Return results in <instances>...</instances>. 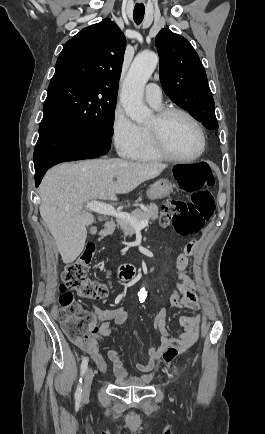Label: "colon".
Segmentation results:
<instances>
[{
    "label": "colon",
    "instance_id": "obj_1",
    "mask_svg": "<svg viewBox=\"0 0 265 434\" xmlns=\"http://www.w3.org/2000/svg\"><path fill=\"white\" fill-rule=\"evenodd\" d=\"M195 164V165H194ZM174 164V173L181 181V189L191 194V200L170 199L163 205L161 221L171 224L176 232L184 237L191 236L202 230L204 222L213 214L214 198L209 188L215 185V177L208 164ZM96 248L88 247L73 263L65 266L62 273L61 290L71 289L81 298L90 301H102L109 295V285L105 282L92 280L88 277L89 265L94 258ZM74 296L69 293L62 295L59 308L64 309L60 319L63 334L67 335L71 347H88L89 335L82 331H95L101 325V320L95 314H73L77 311ZM182 354L177 345L169 344L164 351V362L172 364Z\"/></svg>",
    "mask_w": 265,
    "mask_h": 434
}]
</instances>
